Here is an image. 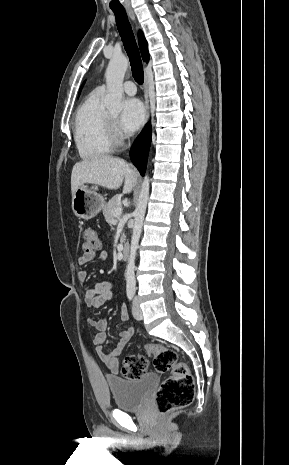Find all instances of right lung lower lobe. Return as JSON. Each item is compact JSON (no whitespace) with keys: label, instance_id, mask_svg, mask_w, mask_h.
<instances>
[{"label":"right lung lower lobe","instance_id":"right-lung-lower-lobe-1","mask_svg":"<svg viewBox=\"0 0 289 465\" xmlns=\"http://www.w3.org/2000/svg\"><path fill=\"white\" fill-rule=\"evenodd\" d=\"M151 132V125L148 124L137 137L130 151L131 160L142 176H144L146 170L147 157L151 142Z\"/></svg>","mask_w":289,"mask_h":465}]
</instances>
